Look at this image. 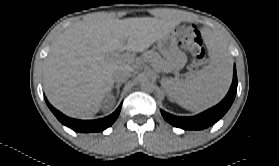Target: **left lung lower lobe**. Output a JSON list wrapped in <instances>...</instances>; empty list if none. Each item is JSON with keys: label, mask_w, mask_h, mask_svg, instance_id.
Masks as SVG:
<instances>
[{"label": "left lung lower lobe", "mask_w": 279, "mask_h": 166, "mask_svg": "<svg viewBox=\"0 0 279 166\" xmlns=\"http://www.w3.org/2000/svg\"><path fill=\"white\" fill-rule=\"evenodd\" d=\"M237 92V75L234 70L233 82L226 97L215 107L193 117H178L161 110L162 116L173 126L182 129L199 130L216 123L230 108Z\"/></svg>", "instance_id": "0a47b994"}]
</instances>
